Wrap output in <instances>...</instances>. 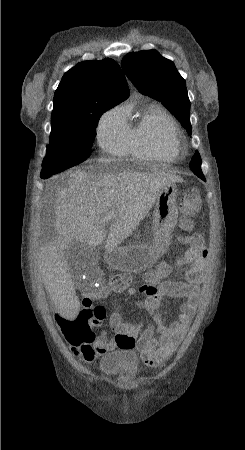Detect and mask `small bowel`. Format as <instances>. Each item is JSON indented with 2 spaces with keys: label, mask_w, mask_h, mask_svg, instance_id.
<instances>
[{
  "label": "small bowel",
  "mask_w": 245,
  "mask_h": 450,
  "mask_svg": "<svg viewBox=\"0 0 245 450\" xmlns=\"http://www.w3.org/2000/svg\"><path fill=\"white\" fill-rule=\"evenodd\" d=\"M207 251L186 250L183 254L177 255L173 264L165 266L162 270L150 273L144 277V284L139 286L127 285L121 289H111L108 286L100 288L94 297H106L110 290H124L129 296L141 294L144 296L142 306L155 312L158 320L157 326L144 327L139 324H127L122 321L120 312L115 310L110 316V326L113 334L107 338L104 334L96 336L89 343L75 344L67 338L62 329V321L69 317H74L76 312L66 305V301L72 297L70 286L67 287V294L56 306L54 319L58 329L65 336L72 353L83 360L92 361L95 355H104L117 347H126L119 339V334L131 333L134 330L143 328L136 345L133 346L141 357V360L148 366L162 363L172 357L182 342L190 321L196 313L198 307V291L202 277L207 270ZM185 270L184 279L181 282L167 280V276L173 272ZM59 287L63 286L62 281H58ZM178 297L185 300L177 316L168 324L161 322L160 305L163 298ZM130 347V346H129Z\"/></svg>",
  "instance_id": "obj_1"
}]
</instances>
